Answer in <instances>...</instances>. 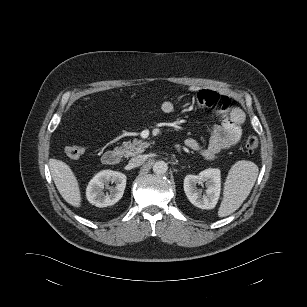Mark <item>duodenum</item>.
Instances as JSON below:
<instances>
[{
  "instance_id": "duodenum-1",
  "label": "duodenum",
  "mask_w": 307,
  "mask_h": 307,
  "mask_svg": "<svg viewBox=\"0 0 307 307\" xmlns=\"http://www.w3.org/2000/svg\"><path fill=\"white\" fill-rule=\"evenodd\" d=\"M121 160V154L117 150H107L102 155V162L107 166L117 165Z\"/></svg>"
}]
</instances>
